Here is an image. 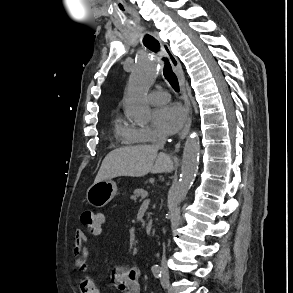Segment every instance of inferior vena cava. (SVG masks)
Returning a JSON list of instances; mask_svg holds the SVG:
<instances>
[{
  "label": "inferior vena cava",
  "mask_w": 293,
  "mask_h": 293,
  "mask_svg": "<svg viewBox=\"0 0 293 293\" xmlns=\"http://www.w3.org/2000/svg\"><path fill=\"white\" fill-rule=\"evenodd\" d=\"M167 137L165 135H160L158 138V141L155 143L154 147L157 149H163L164 145L166 143ZM162 271L166 273L168 271L167 265H166V258H165V252H163V257H162Z\"/></svg>",
  "instance_id": "inferior-vena-cava-1"
}]
</instances>
